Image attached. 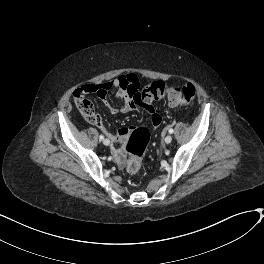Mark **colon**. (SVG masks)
Returning <instances> with one entry per match:
<instances>
[{
  "mask_svg": "<svg viewBox=\"0 0 264 264\" xmlns=\"http://www.w3.org/2000/svg\"><path fill=\"white\" fill-rule=\"evenodd\" d=\"M96 87L78 88L73 94L74 103L79 112L91 124H98L100 117L96 114L94 106L87 95L94 92ZM196 95L195 87L187 82L183 86L166 85L163 83L146 84L138 89L133 96L134 103L140 106H150L154 101L165 98L170 102L180 104L191 102ZM150 134L144 128L134 127L126 143V151L130 157L126 163V172L129 175L137 174L142 166V156L149 143Z\"/></svg>",
  "mask_w": 264,
  "mask_h": 264,
  "instance_id": "5ec220e1",
  "label": "colon"
}]
</instances>
